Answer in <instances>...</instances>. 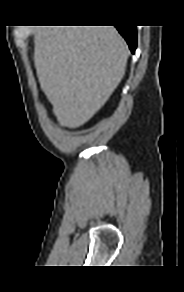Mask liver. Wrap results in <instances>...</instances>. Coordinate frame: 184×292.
Returning <instances> with one entry per match:
<instances>
[{
    "instance_id": "1",
    "label": "liver",
    "mask_w": 184,
    "mask_h": 292,
    "mask_svg": "<svg viewBox=\"0 0 184 292\" xmlns=\"http://www.w3.org/2000/svg\"><path fill=\"white\" fill-rule=\"evenodd\" d=\"M34 45L40 87L64 127L91 119L125 74L128 47L113 26H45Z\"/></svg>"
}]
</instances>
